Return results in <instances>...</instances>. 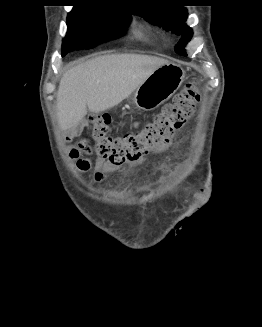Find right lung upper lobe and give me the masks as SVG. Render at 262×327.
<instances>
[{
	"label": "right lung upper lobe",
	"instance_id": "obj_1",
	"mask_svg": "<svg viewBox=\"0 0 262 327\" xmlns=\"http://www.w3.org/2000/svg\"><path fill=\"white\" fill-rule=\"evenodd\" d=\"M76 1L81 4L74 6V8L89 7V8L108 9V10L130 13L129 6L114 5L112 4L114 3V0H76Z\"/></svg>",
	"mask_w": 262,
	"mask_h": 327
}]
</instances>
